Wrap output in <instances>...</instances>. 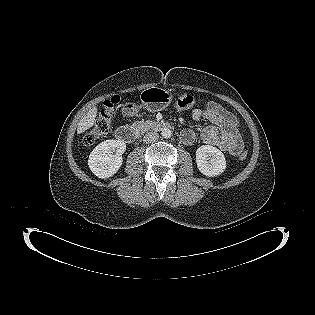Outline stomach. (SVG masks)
Returning <instances> with one entry per match:
<instances>
[{"mask_svg":"<svg viewBox=\"0 0 315 315\" xmlns=\"http://www.w3.org/2000/svg\"><path fill=\"white\" fill-rule=\"evenodd\" d=\"M142 105L149 111H160L166 108L172 101V95L161 88L146 89L141 93ZM125 108L134 111L136 106L132 103H126Z\"/></svg>","mask_w":315,"mask_h":315,"instance_id":"stomach-1","label":"stomach"}]
</instances>
